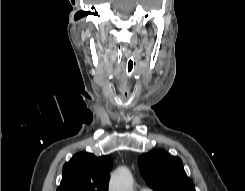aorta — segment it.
Masks as SVG:
<instances>
[{
    "label": "aorta",
    "instance_id": "obj_1",
    "mask_svg": "<svg viewBox=\"0 0 245 191\" xmlns=\"http://www.w3.org/2000/svg\"><path fill=\"white\" fill-rule=\"evenodd\" d=\"M109 191H133V177L127 167H119L111 176Z\"/></svg>",
    "mask_w": 245,
    "mask_h": 191
}]
</instances>
